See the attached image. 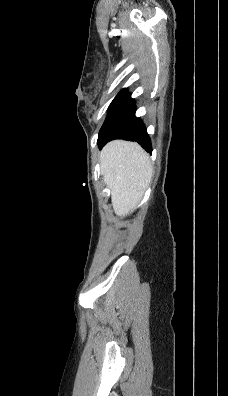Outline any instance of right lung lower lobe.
<instances>
[{
    "mask_svg": "<svg viewBox=\"0 0 228 396\" xmlns=\"http://www.w3.org/2000/svg\"><path fill=\"white\" fill-rule=\"evenodd\" d=\"M135 102L126 89L111 103L102 125L98 145L102 148L113 139L138 142L147 152H152L151 140L140 118L135 116Z\"/></svg>",
    "mask_w": 228,
    "mask_h": 396,
    "instance_id": "1",
    "label": "right lung lower lobe"
}]
</instances>
